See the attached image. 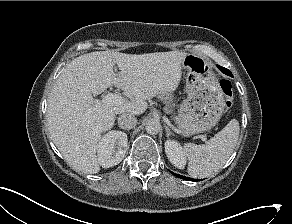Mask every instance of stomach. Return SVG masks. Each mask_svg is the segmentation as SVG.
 <instances>
[{"label":"stomach","instance_id":"stomach-1","mask_svg":"<svg viewBox=\"0 0 292 224\" xmlns=\"http://www.w3.org/2000/svg\"><path fill=\"white\" fill-rule=\"evenodd\" d=\"M186 71L185 99L175 117L176 124L185 137L208 131L220 120L225 98L209 59L186 54L181 62Z\"/></svg>","mask_w":292,"mask_h":224}]
</instances>
